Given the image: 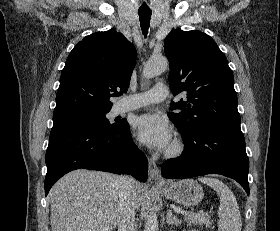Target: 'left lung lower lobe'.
Segmentation results:
<instances>
[{
	"instance_id": "left-lung-lower-lobe-1",
	"label": "left lung lower lobe",
	"mask_w": 280,
	"mask_h": 231,
	"mask_svg": "<svg viewBox=\"0 0 280 231\" xmlns=\"http://www.w3.org/2000/svg\"><path fill=\"white\" fill-rule=\"evenodd\" d=\"M183 154L162 164V176L183 179L221 174L236 180L249 195V160L240 123H218L182 134Z\"/></svg>"
}]
</instances>
